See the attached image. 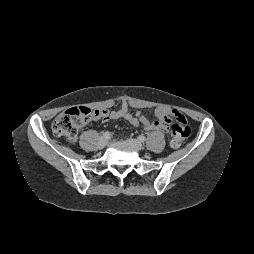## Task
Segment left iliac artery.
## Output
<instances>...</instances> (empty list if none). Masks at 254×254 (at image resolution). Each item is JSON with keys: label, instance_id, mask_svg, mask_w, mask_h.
<instances>
[{"label": "left iliac artery", "instance_id": "obj_1", "mask_svg": "<svg viewBox=\"0 0 254 254\" xmlns=\"http://www.w3.org/2000/svg\"><path fill=\"white\" fill-rule=\"evenodd\" d=\"M138 139H139V141L144 142L145 141V136L140 135V136H138Z\"/></svg>", "mask_w": 254, "mask_h": 254}]
</instances>
